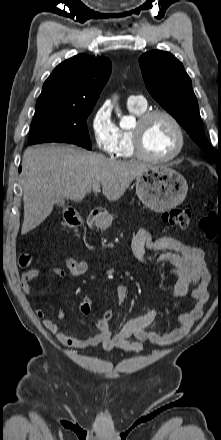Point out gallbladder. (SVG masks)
Masks as SVG:
<instances>
[{
  "instance_id": "1",
  "label": "gallbladder",
  "mask_w": 221,
  "mask_h": 440,
  "mask_svg": "<svg viewBox=\"0 0 221 440\" xmlns=\"http://www.w3.org/2000/svg\"><path fill=\"white\" fill-rule=\"evenodd\" d=\"M64 203H65V200H63V199L58 200V201L56 202V204H57L58 206H63Z\"/></svg>"
}]
</instances>
